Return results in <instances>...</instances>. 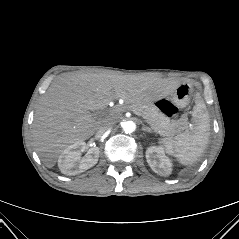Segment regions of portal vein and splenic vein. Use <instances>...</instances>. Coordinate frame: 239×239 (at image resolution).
Returning <instances> with one entry per match:
<instances>
[{"instance_id":"obj_1","label":"portal vein and splenic vein","mask_w":239,"mask_h":239,"mask_svg":"<svg viewBox=\"0 0 239 239\" xmlns=\"http://www.w3.org/2000/svg\"><path fill=\"white\" fill-rule=\"evenodd\" d=\"M132 111V110H131ZM136 115L138 116H142L140 113L136 112V111H133Z\"/></svg>"}]
</instances>
